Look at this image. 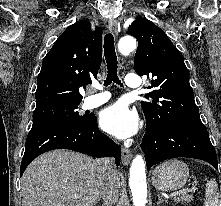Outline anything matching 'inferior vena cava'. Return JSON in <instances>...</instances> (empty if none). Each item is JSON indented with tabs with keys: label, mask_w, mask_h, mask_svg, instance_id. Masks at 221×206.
Instances as JSON below:
<instances>
[{
	"label": "inferior vena cava",
	"mask_w": 221,
	"mask_h": 206,
	"mask_svg": "<svg viewBox=\"0 0 221 206\" xmlns=\"http://www.w3.org/2000/svg\"><path fill=\"white\" fill-rule=\"evenodd\" d=\"M104 177L102 181V198L104 206H112L118 200L120 178L115 163L111 158L102 159Z\"/></svg>",
	"instance_id": "1"
}]
</instances>
